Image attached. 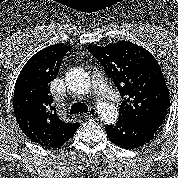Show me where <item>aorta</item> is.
Segmentation results:
<instances>
[{"label": "aorta", "instance_id": "aorta-1", "mask_svg": "<svg viewBox=\"0 0 178 178\" xmlns=\"http://www.w3.org/2000/svg\"><path fill=\"white\" fill-rule=\"evenodd\" d=\"M68 88L76 94H86L91 86L88 74L82 68H74L66 75ZM98 114L106 124H114L118 118L117 108L109 103H99L97 105Z\"/></svg>", "mask_w": 178, "mask_h": 178}]
</instances>
